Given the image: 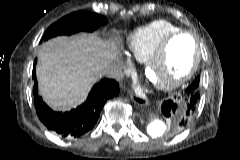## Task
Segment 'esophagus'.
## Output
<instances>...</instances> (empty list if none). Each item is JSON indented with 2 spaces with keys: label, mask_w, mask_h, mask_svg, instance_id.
I'll return each instance as SVG.
<instances>
[{
  "label": "esophagus",
  "mask_w": 240,
  "mask_h": 160,
  "mask_svg": "<svg viewBox=\"0 0 240 160\" xmlns=\"http://www.w3.org/2000/svg\"><path fill=\"white\" fill-rule=\"evenodd\" d=\"M131 99L139 106H146L148 104V100L142 92L133 93L131 95Z\"/></svg>",
  "instance_id": "34e87169"
}]
</instances>
